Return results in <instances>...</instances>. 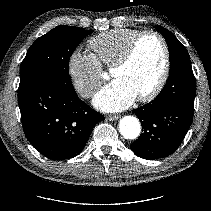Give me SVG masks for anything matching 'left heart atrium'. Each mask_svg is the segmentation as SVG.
<instances>
[{
  "instance_id": "obj_1",
  "label": "left heart atrium",
  "mask_w": 211,
  "mask_h": 211,
  "mask_svg": "<svg viewBox=\"0 0 211 211\" xmlns=\"http://www.w3.org/2000/svg\"><path fill=\"white\" fill-rule=\"evenodd\" d=\"M136 98L125 82L115 79L95 95L93 103L101 111L116 112L128 108Z\"/></svg>"
}]
</instances>
